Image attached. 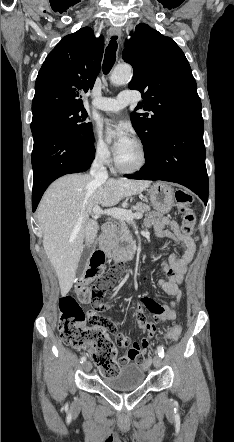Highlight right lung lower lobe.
Returning a JSON list of instances; mask_svg holds the SVG:
<instances>
[{
  "instance_id": "1",
  "label": "right lung lower lobe",
  "mask_w": 234,
  "mask_h": 442,
  "mask_svg": "<svg viewBox=\"0 0 234 442\" xmlns=\"http://www.w3.org/2000/svg\"><path fill=\"white\" fill-rule=\"evenodd\" d=\"M33 134L32 208L37 205L46 188L57 178L86 171L94 159V139L83 143L55 129H40Z\"/></svg>"
}]
</instances>
